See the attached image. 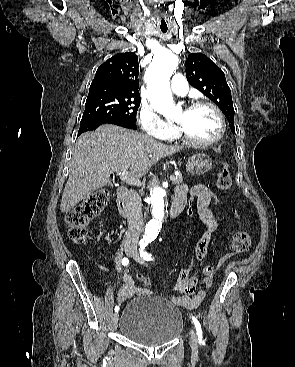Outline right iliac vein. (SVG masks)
Returning a JSON list of instances; mask_svg holds the SVG:
<instances>
[{
    "instance_id": "1",
    "label": "right iliac vein",
    "mask_w": 295,
    "mask_h": 367,
    "mask_svg": "<svg viewBox=\"0 0 295 367\" xmlns=\"http://www.w3.org/2000/svg\"><path fill=\"white\" fill-rule=\"evenodd\" d=\"M125 252L127 255H131L132 254V249L131 248H126L125 249ZM112 326L114 329L117 328V325H118V313H114L113 316H112Z\"/></svg>"
}]
</instances>
